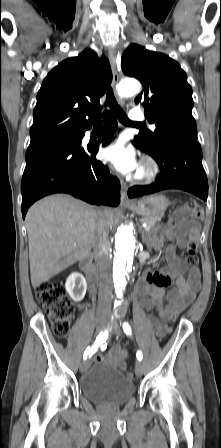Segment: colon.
Masks as SVG:
<instances>
[{"label":"colon","mask_w":221,"mask_h":448,"mask_svg":"<svg viewBox=\"0 0 221 448\" xmlns=\"http://www.w3.org/2000/svg\"><path fill=\"white\" fill-rule=\"evenodd\" d=\"M202 216L201 209L195 201L187 203V211L177 215L173 223L182 225L189 222L190 227H196ZM186 264L197 267V243L188 244L185 257ZM37 301L46 310L52 323L53 331L58 337H64L69 329L73 308L65 295V289L61 281H45L35 289Z\"/></svg>","instance_id":"obj_1"}]
</instances>
